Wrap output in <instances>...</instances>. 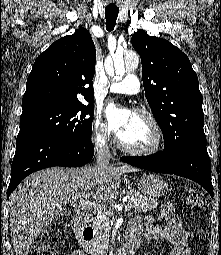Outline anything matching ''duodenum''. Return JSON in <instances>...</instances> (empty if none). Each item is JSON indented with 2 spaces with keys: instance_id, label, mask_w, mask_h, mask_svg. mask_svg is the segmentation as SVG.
<instances>
[{
  "instance_id": "410a0bca",
  "label": "duodenum",
  "mask_w": 221,
  "mask_h": 255,
  "mask_svg": "<svg viewBox=\"0 0 221 255\" xmlns=\"http://www.w3.org/2000/svg\"><path fill=\"white\" fill-rule=\"evenodd\" d=\"M71 227L80 237L83 243L91 244L93 240V228L89 224L85 215L76 214L71 220ZM141 240L138 238H129V241L124 249L118 251L115 255H133L139 248Z\"/></svg>"
}]
</instances>
